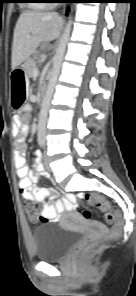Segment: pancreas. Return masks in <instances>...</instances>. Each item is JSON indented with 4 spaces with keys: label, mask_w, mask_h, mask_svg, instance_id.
Segmentation results:
<instances>
[{
    "label": "pancreas",
    "mask_w": 136,
    "mask_h": 296,
    "mask_svg": "<svg viewBox=\"0 0 136 296\" xmlns=\"http://www.w3.org/2000/svg\"><path fill=\"white\" fill-rule=\"evenodd\" d=\"M37 58H38V53L33 58H29L28 60H26L24 63L25 72L29 77H33V71L37 67V63H36Z\"/></svg>",
    "instance_id": "cf45deb5"
}]
</instances>
